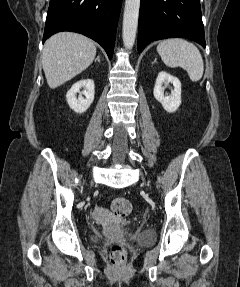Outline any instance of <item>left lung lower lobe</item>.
<instances>
[{"label":"left lung lower lobe","instance_id":"obj_1","mask_svg":"<svg viewBox=\"0 0 240 287\" xmlns=\"http://www.w3.org/2000/svg\"><path fill=\"white\" fill-rule=\"evenodd\" d=\"M180 37L206 47L199 0H141L138 52L151 41Z\"/></svg>","mask_w":240,"mask_h":287}]
</instances>
